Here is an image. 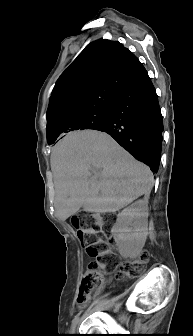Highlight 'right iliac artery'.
Wrapping results in <instances>:
<instances>
[{
    "label": "right iliac artery",
    "mask_w": 193,
    "mask_h": 336,
    "mask_svg": "<svg viewBox=\"0 0 193 336\" xmlns=\"http://www.w3.org/2000/svg\"><path fill=\"white\" fill-rule=\"evenodd\" d=\"M78 320H79V315H76V316L74 317V319L72 320L71 330H74V329H75V326H76Z\"/></svg>",
    "instance_id": "obj_1"
}]
</instances>
